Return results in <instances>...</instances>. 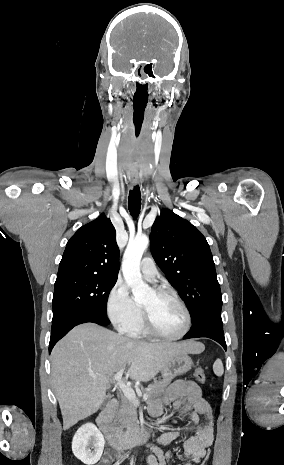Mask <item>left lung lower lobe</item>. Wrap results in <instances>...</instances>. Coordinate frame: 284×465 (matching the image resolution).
<instances>
[{"label": "left lung lower lobe", "mask_w": 284, "mask_h": 465, "mask_svg": "<svg viewBox=\"0 0 284 465\" xmlns=\"http://www.w3.org/2000/svg\"><path fill=\"white\" fill-rule=\"evenodd\" d=\"M198 337L211 338L226 350L221 312H207L192 322V327L184 339Z\"/></svg>", "instance_id": "0a47b994"}]
</instances>
